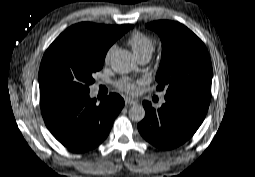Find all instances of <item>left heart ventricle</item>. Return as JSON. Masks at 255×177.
Segmentation results:
<instances>
[{
  "label": "left heart ventricle",
  "instance_id": "left-heart-ventricle-1",
  "mask_svg": "<svg viewBox=\"0 0 255 177\" xmlns=\"http://www.w3.org/2000/svg\"><path fill=\"white\" fill-rule=\"evenodd\" d=\"M136 73H137V72H136V71H134V72L131 74V76H135V75H136Z\"/></svg>",
  "mask_w": 255,
  "mask_h": 177
}]
</instances>
